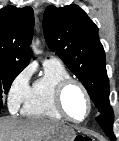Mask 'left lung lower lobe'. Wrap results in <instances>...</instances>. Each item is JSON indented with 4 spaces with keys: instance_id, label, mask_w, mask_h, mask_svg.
Segmentation results:
<instances>
[{
    "instance_id": "left-lung-lower-lobe-1",
    "label": "left lung lower lobe",
    "mask_w": 119,
    "mask_h": 141,
    "mask_svg": "<svg viewBox=\"0 0 119 141\" xmlns=\"http://www.w3.org/2000/svg\"><path fill=\"white\" fill-rule=\"evenodd\" d=\"M98 124L104 130L105 134L109 137L111 141H115L116 137L113 134V120L114 114L111 107L101 112V114L96 118Z\"/></svg>"
}]
</instances>
